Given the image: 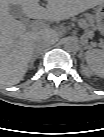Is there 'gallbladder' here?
Segmentation results:
<instances>
[{
  "instance_id": "gallbladder-1",
  "label": "gallbladder",
  "mask_w": 104,
  "mask_h": 137,
  "mask_svg": "<svg viewBox=\"0 0 104 137\" xmlns=\"http://www.w3.org/2000/svg\"><path fill=\"white\" fill-rule=\"evenodd\" d=\"M9 12L15 17L21 19V21L29 28H31V22L25 17L21 7L17 5H10Z\"/></svg>"
}]
</instances>
